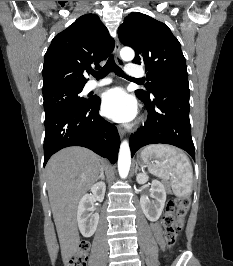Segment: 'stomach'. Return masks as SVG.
Returning a JSON list of instances; mask_svg holds the SVG:
<instances>
[{
	"label": "stomach",
	"mask_w": 233,
	"mask_h": 266,
	"mask_svg": "<svg viewBox=\"0 0 233 266\" xmlns=\"http://www.w3.org/2000/svg\"><path fill=\"white\" fill-rule=\"evenodd\" d=\"M156 161H157V158L154 155L143 156L142 154H140V156L138 157V162L140 164H145L148 166L153 165Z\"/></svg>",
	"instance_id": "obj_1"
}]
</instances>
